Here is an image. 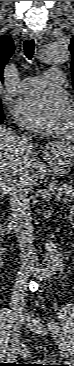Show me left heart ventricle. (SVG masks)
<instances>
[{"mask_svg": "<svg viewBox=\"0 0 74 366\" xmlns=\"http://www.w3.org/2000/svg\"><path fill=\"white\" fill-rule=\"evenodd\" d=\"M65 124H66L67 126H69V125H70V114L67 116V118H66V120H65Z\"/></svg>", "mask_w": 74, "mask_h": 366, "instance_id": "left-heart-ventricle-1", "label": "left heart ventricle"}]
</instances>
